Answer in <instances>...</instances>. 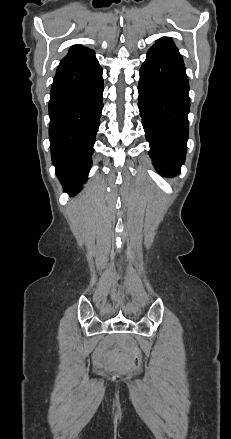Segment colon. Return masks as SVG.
<instances>
[{"instance_id":"5ec220e1","label":"colon","mask_w":231,"mask_h":439,"mask_svg":"<svg viewBox=\"0 0 231 439\" xmlns=\"http://www.w3.org/2000/svg\"><path fill=\"white\" fill-rule=\"evenodd\" d=\"M130 350L132 353L130 364L133 367V369L137 370L140 368L141 363H142L141 351H140L137 344H132Z\"/></svg>"}]
</instances>
